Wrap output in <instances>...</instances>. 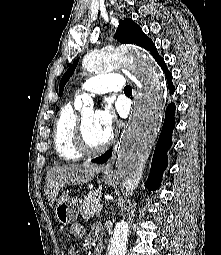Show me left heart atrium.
Masks as SVG:
<instances>
[{"label":"left heart atrium","mask_w":221,"mask_h":255,"mask_svg":"<svg viewBox=\"0 0 221 255\" xmlns=\"http://www.w3.org/2000/svg\"><path fill=\"white\" fill-rule=\"evenodd\" d=\"M96 119L99 124L110 133L116 117L112 107L108 105L96 112Z\"/></svg>","instance_id":"left-heart-atrium-1"}]
</instances>
